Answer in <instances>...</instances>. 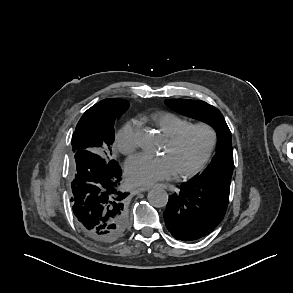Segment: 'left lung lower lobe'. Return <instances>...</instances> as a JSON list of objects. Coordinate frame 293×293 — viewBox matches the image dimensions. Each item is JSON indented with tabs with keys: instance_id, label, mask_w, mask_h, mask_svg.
<instances>
[{
	"instance_id": "1",
	"label": "left lung lower lobe",
	"mask_w": 293,
	"mask_h": 293,
	"mask_svg": "<svg viewBox=\"0 0 293 293\" xmlns=\"http://www.w3.org/2000/svg\"><path fill=\"white\" fill-rule=\"evenodd\" d=\"M230 182L193 179L169 196L164 220L179 240L193 241L212 232L222 221L229 202Z\"/></svg>"
}]
</instances>
